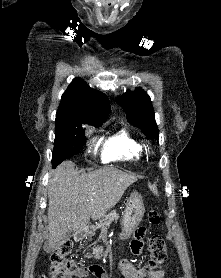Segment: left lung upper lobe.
I'll use <instances>...</instances> for the list:
<instances>
[{
	"label": "left lung upper lobe",
	"instance_id": "obj_1",
	"mask_svg": "<svg viewBox=\"0 0 221 278\" xmlns=\"http://www.w3.org/2000/svg\"><path fill=\"white\" fill-rule=\"evenodd\" d=\"M116 101L123 106L127 119L133 125L140 128L149 139H159L151 99L144 90L135 88L134 92L128 91Z\"/></svg>",
	"mask_w": 221,
	"mask_h": 278
}]
</instances>
